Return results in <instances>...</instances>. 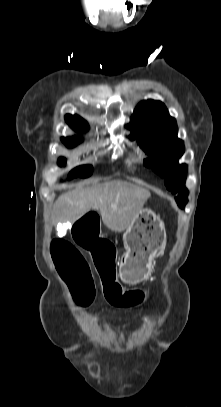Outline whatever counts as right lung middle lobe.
I'll list each match as a JSON object with an SVG mask.
<instances>
[{
	"label": "right lung middle lobe",
	"mask_w": 221,
	"mask_h": 407,
	"mask_svg": "<svg viewBox=\"0 0 221 407\" xmlns=\"http://www.w3.org/2000/svg\"><path fill=\"white\" fill-rule=\"evenodd\" d=\"M67 146L69 147H74L76 144L74 143H65ZM66 163V159L65 158H60L59 160V165L63 166ZM92 174V167L91 166H79L75 169H73L70 173H69V178H74V177H88Z\"/></svg>",
	"instance_id": "1"
}]
</instances>
